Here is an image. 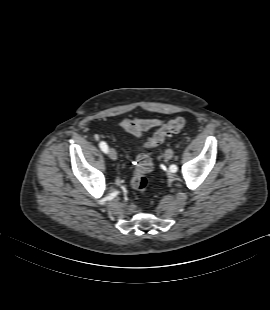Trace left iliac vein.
<instances>
[{
	"label": "left iliac vein",
	"instance_id": "4c4485c4",
	"mask_svg": "<svg viewBox=\"0 0 270 310\" xmlns=\"http://www.w3.org/2000/svg\"><path fill=\"white\" fill-rule=\"evenodd\" d=\"M173 157V151L172 149H167L165 152V158L166 159H171Z\"/></svg>",
	"mask_w": 270,
	"mask_h": 310
}]
</instances>
